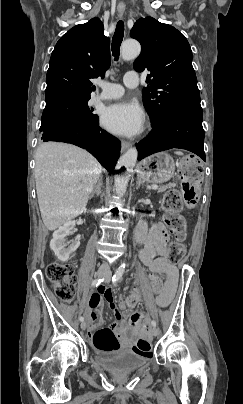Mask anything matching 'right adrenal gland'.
Listing matches in <instances>:
<instances>
[{
  "label": "right adrenal gland",
  "instance_id": "obj_1",
  "mask_svg": "<svg viewBox=\"0 0 243 404\" xmlns=\"http://www.w3.org/2000/svg\"><path fill=\"white\" fill-rule=\"evenodd\" d=\"M103 178L102 176H100L94 190H92L91 194H90V200L91 198H94V196H100V194H102L103 190Z\"/></svg>",
  "mask_w": 243,
  "mask_h": 404
}]
</instances>
